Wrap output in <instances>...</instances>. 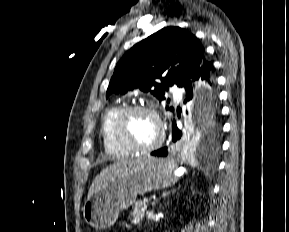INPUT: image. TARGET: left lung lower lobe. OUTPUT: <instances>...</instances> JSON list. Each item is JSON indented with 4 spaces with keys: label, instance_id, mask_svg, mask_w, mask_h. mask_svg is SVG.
Wrapping results in <instances>:
<instances>
[{
    "label": "left lung lower lobe",
    "instance_id": "1",
    "mask_svg": "<svg viewBox=\"0 0 289 232\" xmlns=\"http://www.w3.org/2000/svg\"><path fill=\"white\" fill-rule=\"evenodd\" d=\"M198 79L204 80L208 84V86L212 92L213 98L214 99L216 98L214 68H213L212 63L210 61H208L206 58H204L201 66L199 67V69L197 70V72L195 73L193 78L184 86V88L187 91L185 102H187V100H189V99H192L193 81L198 80ZM216 112L218 113V117H219V109L216 107H214V109L210 112L208 117L213 116ZM208 117H204L203 120H205ZM181 137H182V131L177 128L176 122L173 121V123H172V141L173 142L179 141L176 145L173 146V148H178L180 150H187V149H184L182 147V143L180 141ZM167 154H168L167 147L161 148V149L153 151L151 153V155L158 156V157L167 156Z\"/></svg>",
    "mask_w": 289,
    "mask_h": 232
}]
</instances>
